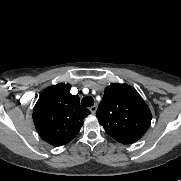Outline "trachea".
<instances>
[{"label":"trachea","instance_id":"1","mask_svg":"<svg viewBox=\"0 0 181 181\" xmlns=\"http://www.w3.org/2000/svg\"><path fill=\"white\" fill-rule=\"evenodd\" d=\"M81 105L84 107H90L94 105V99L91 96H86L82 99Z\"/></svg>","mask_w":181,"mask_h":181}]
</instances>
